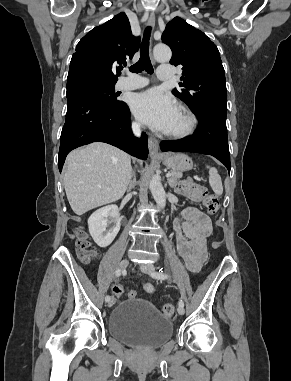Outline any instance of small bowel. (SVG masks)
Segmentation results:
<instances>
[{
    "instance_id": "c3829d8e",
    "label": "small bowel",
    "mask_w": 291,
    "mask_h": 381,
    "mask_svg": "<svg viewBox=\"0 0 291 381\" xmlns=\"http://www.w3.org/2000/svg\"><path fill=\"white\" fill-rule=\"evenodd\" d=\"M182 217L185 220L182 227L178 221L174 223L176 248L179 255L184 259L187 269L196 273L206 259V241L211 235L212 226L209 217L194 207L184 209ZM143 288L147 292L154 290L150 283H143Z\"/></svg>"
}]
</instances>
